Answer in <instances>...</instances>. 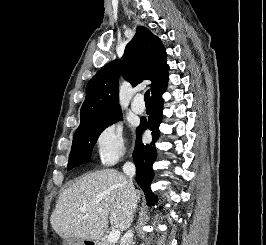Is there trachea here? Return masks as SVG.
Here are the masks:
<instances>
[{
    "instance_id": "trachea-1",
    "label": "trachea",
    "mask_w": 266,
    "mask_h": 245,
    "mask_svg": "<svg viewBox=\"0 0 266 245\" xmlns=\"http://www.w3.org/2000/svg\"><path fill=\"white\" fill-rule=\"evenodd\" d=\"M144 101L145 103H150V91L149 90H147L144 95Z\"/></svg>"
}]
</instances>
